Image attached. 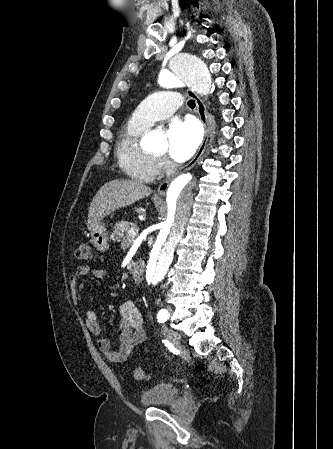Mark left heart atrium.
Segmentation results:
<instances>
[{"mask_svg":"<svg viewBox=\"0 0 333 449\" xmlns=\"http://www.w3.org/2000/svg\"><path fill=\"white\" fill-rule=\"evenodd\" d=\"M168 152L178 162L189 159L201 141V130L191 119L173 120L167 130Z\"/></svg>","mask_w":333,"mask_h":449,"instance_id":"left-heart-atrium-1","label":"left heart atrium"}]
</instances>
